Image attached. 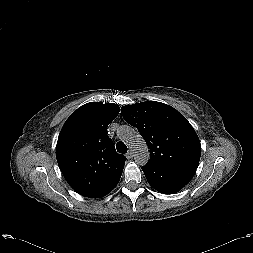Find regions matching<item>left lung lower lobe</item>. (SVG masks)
I'll return each mask as SVG.
<instances>
[{
    "label": "left lung lower lobe",
    "instance_id": "left-lung-lower-lobe-1",
    "mask_svg": "<svg viewBox=\"0 0 253 253\" xmlns=\"http://www.w3.org/2000/svg\"><path fill=\"white\" fill-rule=\"evenodd\" d=\"M148 183L157 191L173 194L182 189L193 177L196 169L176 165L146 164L142 167Z\"/></svg>",
    "mask_w": 253,
    "mask_h": 253
}]
</instances>
